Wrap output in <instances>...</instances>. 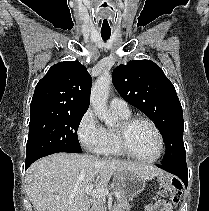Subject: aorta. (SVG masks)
Wrapping results in <instances>:
<instances>
[{
    "label": "aorta",
    "instance_id": "1",
    "mask_svg": "<svg viewBox=\"0 0 209 211\" xmlns=\"http://www.w3.org/2000/svg\"><path fill=\"white\" fill-rule=\"evenodd\" d=\"M112 78L109 74H103L94 83L91 89L90 104L95 115L107 126L114 125L116 118L110 113L107 107Z\"/></svg>",
    "mask_w": 209,
    "mask_h": 211
}]
</instances>
